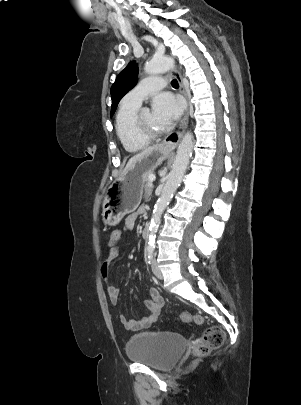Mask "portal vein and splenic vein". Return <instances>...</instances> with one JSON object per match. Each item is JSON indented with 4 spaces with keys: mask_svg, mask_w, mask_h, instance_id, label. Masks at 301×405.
<instances>
[{
    "mask_svg": "<svg viewBox=\"0 0 301 405\" xmlns=\"http://www.w3.org/2000/svg\"><path fill=\"white\" fill-rule=\"evenodd\" d=\"M155 179H156V177H155L154 175H150V176H149V180L151 181V183H152L153 181H155Z\"/></svg>",
    "mask_w": 301,
    "mask_h": 405,
    "instance_id": "18ae733b",
    "label": "portal vein and splenic vein"
}]
</instances>
